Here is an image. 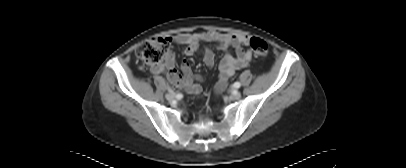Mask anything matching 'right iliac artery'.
Segmentation results:
<instances>
[{
    "label": "right iliac artery",
    "mask_w": 406,
    "mask_h": 168,
    "mask_svg": "<svg viewBox=\"0 0 406 168\" xmlns=\"http://www.w3.org/2000/svg\"><path fill=\"white\" fill-rule=\"evenodd\" d=\"M167 88H168V91H169L171 94H174V91L171 89L170 86H168ZM175 96H176V97H179L180 94H177V95H175Z\"/></svg>",
    "instance_id": "obj_1"
}]
</instances>
